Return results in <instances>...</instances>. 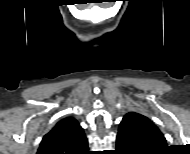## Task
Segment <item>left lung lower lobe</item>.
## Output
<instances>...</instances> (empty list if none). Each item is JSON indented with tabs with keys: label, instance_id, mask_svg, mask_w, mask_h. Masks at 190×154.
Wrapping results in <instances>:
<instances>
[{
	"label": "left lung lower lobe",
	"instance_id": "1",
	"mask_svg": "<svg viewBox=\"0 0 190 154\" xmlns=\"http://www.w3.org/2000/svg\"><path fill=\"white\" fill-rule=\"evenodd\" d=\"M166 146V140L142 116L128 113L122 119L116 150L124 154H150Z\"/></svg>",
	"mask_w": 190,
	"mask_h": 154
}]
</instances>
